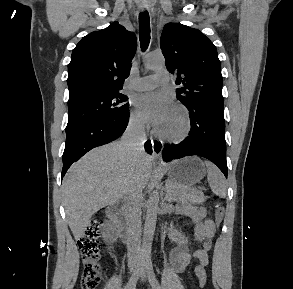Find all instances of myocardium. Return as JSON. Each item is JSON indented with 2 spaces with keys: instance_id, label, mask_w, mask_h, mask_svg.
Wrapping results in <instances>:
<instances>
[{
  "instance_id": "f54148a6",
  "label": "myocardium",
  "mask_w": 293,
  "mask_h": 289,
  "mask_svg": "<svg viewBox=\"0 0 293 289\" xmlns=\"http://www.w3.org/2000/svg\"><path fill=\"white\" fill-rule=\"evenodd\" d=\"M174 109L179 111L183 117L184 125L182 130L175 135H167L162 133L157 127L154 129L153 133L155 137H157L161 141L172 143V144H179L185 141L189 137L192 130V120H191L189 110L184 105L176 104L174 106Z\"/></svg>"
}]
</instances>
